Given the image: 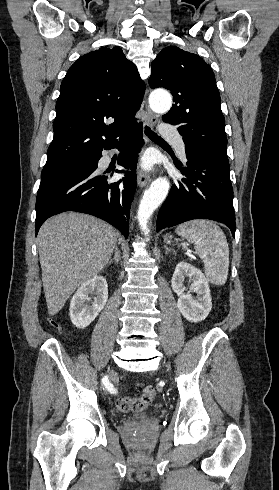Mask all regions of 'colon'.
<instances>
[{"instance_id":"colon-1","label":"colon","mask_w":279,"mask_h":490,"mask_svg":"<svg viewBox=\"0 0 279 490\" xmlns=\"http://www.w3.org/2000/svg\"><path fill=\"white\" fill-rule=\"evenodd\" d=\"M155 398V390L147 388L143 391L142 396L137 398L122 397L118 400L117 408L121 412H140L147 408Z\"/></svg>"}]
</instances>
